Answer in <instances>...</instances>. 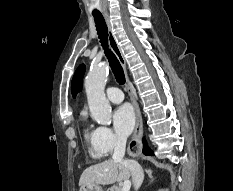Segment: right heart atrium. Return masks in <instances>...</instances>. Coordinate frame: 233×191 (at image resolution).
<instances>
[{
	"label": "right heart atrium",
	"instance_id": "d8ad5b80",
	"mask_svg": "<svg viewBox=\"0 0 233 191\" xmlns=\"http://www.w3.org/2000/svg\"><path fill=\"white\" fill-rule=\"evenodd\" d=\"M98 147L105 154H111L124 144V139L114 133L110 128L101 126L96 129Z\"/></svg>",
	"mask_w": 233,
	"mask_h": 191
}]
</instances>
